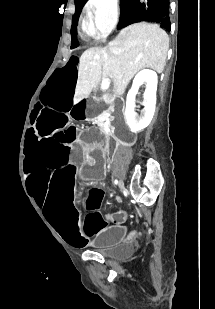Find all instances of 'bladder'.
I'll list each match as a JSON object with an SVG mask.
<instances>
[{
    "label": "bladder",
    "instance_id": "31cf9c89",
    "mask_svg": "<svg viewBox=\"0 0 215 309\" xmlns=\"http://www.w3.org/2000/svg\"><path fill=\"white\" fill-rule=\"evenodd\" d=\"M135 252V247L133 244L126 243L121 245L118 249L104 253V256L116 260V261H125L133 256Z\"/></svg>",
    "mask_w": 215,
    "mask_h": 309
}]
</instances>
